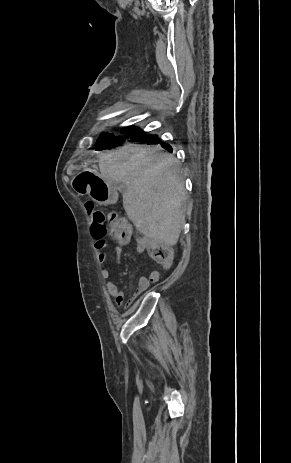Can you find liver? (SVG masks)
<instances>
[{
	"mask_svg": "<svg viewBox=\"0 0 291 463\" xmlns=\"http://www.w3.org/2000/svg\"><path fill=\"white\" fill-rule=\"evenodd\" d=\"M174 156L160 147L127 144L106 153L99 162L101 176L123 183V207L137 230L149 239L173 246L185 223L184 184Z\"/></svg>",
	"mask_w": 291,
	"mask_h": 463,
	"instance_id": "obj_1",
	"label": "liver"
}]
</instances>
